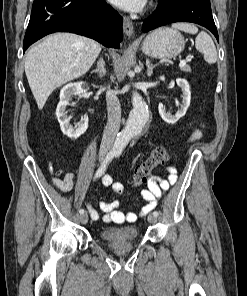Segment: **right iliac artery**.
Returning <instances> with one entry per match:
<instances>
[{
  "instance_id": "right-iliac-artery-1",
  "label": "right iliac artery",
  "mask_w": 247,
  "mask_h": 296,
  "mask_svg": "<svg viewBox=\"0 0 247 296\" xmlns=\"http://www.w3.org/2000/svg\"><path fill=\"white\" fill-rule=\"evenodd\" d=\"M114 156H116V152H114V151H110V152L106 155V157H105L103 163L101 164V166H100V167L98 168V170L96 171L95 178H99L100 176H102V175L105 173V171H106V169H107V165H108L109 162L114 158ZM79 213H80V214H83V213H84V210H83V209H80V210H79Z\"/></svg>"
}]
</instances>
